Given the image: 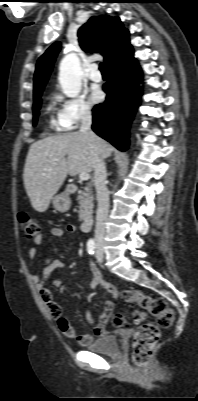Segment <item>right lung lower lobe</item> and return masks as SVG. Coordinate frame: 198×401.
<instances>
[{
	"instance_id": "right-lung-lower-lobe-1",
	"label": "right lung lower lobe",
	"mask_w": 198,
	"mask_h": 401,
	"mask_svg": "<svg viewBox=\"0 0 198 401\" xmlns=\"http://www.w3.org/2000/svg\"><path fill=\"white\" fill-rule=\"evenodd\" d=\"M109 81L104 84V103L93 108L92 129L117 149L129 144V125L142 95V73L132 48L108 66Z\"/></svg>"
}]
</instances>
